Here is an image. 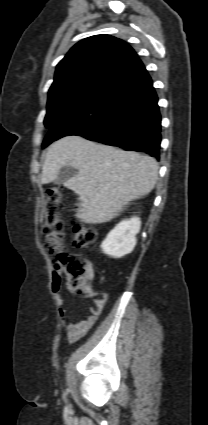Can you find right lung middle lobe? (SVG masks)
Segmentation results:
<instances>
[{"label": "right lung middle lobe", "mask_w": 208, "mask_h": 425, "mask_svg": "<svg viewBox=\"0 0 208 425\" xmlns=\"http://www.w3.org/2000/svg\"><path fill=\"white\" fill-rule=\"evenodd\" d=\"M104 90L101 89H86L67 94L58 99L47 103V114L44 124L46 127H51L52 124L61 116L76 112L79 109L89 105L96 100ZM49 139L44 140L42 147L50 144Z\"/></svg>", "instance_id": "dd1d6c3e"}]
</instances>
